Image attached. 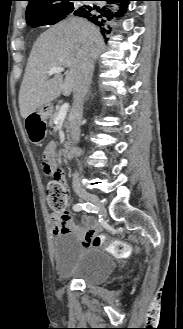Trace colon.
<instances>
[{"mask_svg": "<svg viewBox=\"0 0 183 329\" xmlns=\"http://www.w3.org/2000/svg\"><path fill=\"white\" fill-rule=\"evenodd\" d=\"M43 169L46 175L52 180L47 186V200L52 213L64 217L68 204V190L62 180L61 169L54 163L51 157L47 156L43 159ZM93 244L98 247H107L117 256H125L129 253L126 244L114 241L110 242L104 235H96L93 237Z\"/></svg>", "mask_w": 183, "mask_h": 329, "instance_id": "colon-1", "label": "colon"}]
</instances>
